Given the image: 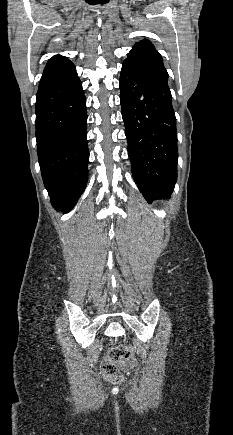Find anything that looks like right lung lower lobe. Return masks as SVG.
Wrapping results in <instances>:
<instances>
[{"label": "right lung lower lobe", "instance_id": "right-lung-lower-lobe-1", "mask_svg": "<svg viewBox=\"0 0 233 435\" xmlns=\"http://www.w3.org/2000/svg\"><path fill=\"white\" fill-rule=\"evenodd\" d=\"M86 122V98L77 73L37 92L38 161L56 210L69 212L85 190L89 160Z\"/></svg>", "mask_w": 233, "mask_h": 435}]
</instances>
